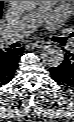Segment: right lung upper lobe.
Here are the masks:
<instances>
[{
  "label": "right lung upper lobe",
  "instance_id": "1",
  "mask_svg": "<svg viewBox=\"0 0 74 122\" xmlns=\"http://www.w3.org/2000/svg\"><path fill=\"white\" fill-rule=\"evenodd\" d=\"M2 11V1H0V18H1V12Z\"/></svg>",
  "mask_w": 74,
  "mask_h": 122
}]
</instances>
